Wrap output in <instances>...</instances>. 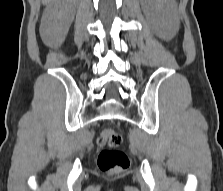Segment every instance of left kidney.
Masks as SVG:
<instances>
[{"instance_id":"1","label":"left kidney","mask_w":223,"mask_h":191,"mask_svg":"<svg viewBox=\"0 0 223 191\" xmlns=\"http://www.w3.org/2000/svg\"><path fill=\"white\" fill-rule=\"evenodd\" d=\"M144 13L156 33L171 39L179 29V19L173 0H141Z\"/></svg>"}]
</instances>
